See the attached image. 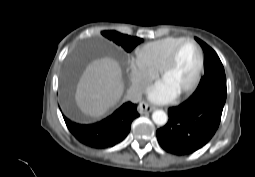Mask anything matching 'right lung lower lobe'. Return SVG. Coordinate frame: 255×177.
<instances>
[{
	"label": "right lung lower lobe",
	"mask_w": 255,
	"mask_h": 177,
	"mask_svg": "<svg viewBox=\"0 0 255 177\" xmlns=\"http://www.w3.org/2000/svg\"><path fill=\"white\" fill-rule=\"evenodd\" d=\"M138 116L137 105L127 102L112 115L94 124H79L63 117L69 131L79 142L91 148L105 149L124 140L132 121Z\"/></svg>",
	"instance_id": "right-lung-lower-lobe-1"
}]
</instances>
